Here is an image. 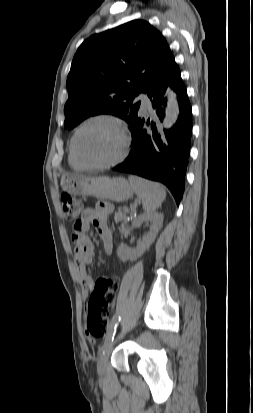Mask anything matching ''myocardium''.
Wrapping results in <instances>:
<instances>
[{
	"instance_id": "1",
	"label": "myocardium",
	"mask_w": 253,
	"mask_h": 413,
	"mask_svg": "<svg viewBox=\"0 0 253 413\" xmlns=\"http://www.w3.org/2000/svg\"><path fill=\"white\" fill-rule=\"evenodd\" d=\"M95 122H108V123H111V124L115 125L117 127V129L119 130V132H120V135H121V138H122V150H121L120 154L111 161L104 162V163H90V162L85 161L80 156V154L78 152L77 140H78V136H79L80 132L86 126H88L92 123H95ZM71 146H72V152H73V155H74L75 159L77 160V162L82 167L87 168V169L100 170V169H108V168L114 167V166L118 165L119 163H121L126 158V156L128 155L130 141H129V136H128L127 129H126L124 123L119 118H117L115 116H112V115L101 114V115H96V116L90 117L89 119L85 120L83 123H81L77 127V129L75 130V132L72 136Z\"/></svg>"
}]
</instances>
